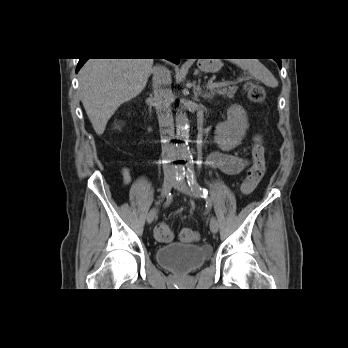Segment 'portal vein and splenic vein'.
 Instances as JSON below:
<instances>
[{"mask_svg":"<svg viewBox=\"0 0 348 348\" xmlns=\"http://www.w3.org/2000/svg\"><path fill=\"white\" fill-rule=\"evenodd\" d=\"M230 82H215V83H208L207 86L208 87H223V86H227L229 85Z\"/></svg>","mask_w":348,"mask_h":348,"instance_id":"portal-vein-and-splenic-vein-1","label":"portal vein and splenic vein"}]
</instances>
